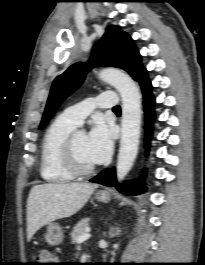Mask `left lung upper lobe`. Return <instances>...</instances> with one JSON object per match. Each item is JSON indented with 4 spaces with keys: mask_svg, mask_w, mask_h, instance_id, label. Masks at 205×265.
<instances>
[{
    "mask_svg": "<svg viewBox=\"0 0 205 265\" xmlns=\"http://www.w3.org/2000/svg\"><path fill=\"white\" fill-rule=\"evenodd\" d=\"M95 66L121 68L136 81L145 69L139 51L128 34L117 26H108L103 37L95 44L88 63H75L54 80L40 129L52 118L59 105L79 88L88 70Z\"/></svg>",
    "mask_w": 205,
    "mask_h": 265,
    "instance_id": "left-lung-upper-lobe-1",
    "label": "left lung upper lobe"
}]
</instances>
